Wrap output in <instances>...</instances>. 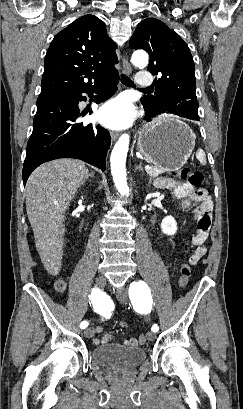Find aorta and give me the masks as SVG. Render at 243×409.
<instances>
[{
	"label": "aorta",
	"instance_id": "aorta-1",
	"mask_svg": "<svg viewBox=\"0 0 243 409\" xmlns=\"http://www.w3.org/2000/svg\"><path fill=\"white\" fill-rule=\"evenodd\" d=\"M134 66L143 68L148 64V55L143 51L135 52L131 59ZM130 137L123 134L115 144L111 157V173L114 184L121 195H129V187L126 178V157L129 149Z\"/></svg>",
	"mask_w": 243,
	"mask_h": 409
}]
</instances>
